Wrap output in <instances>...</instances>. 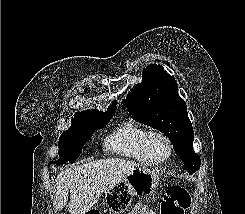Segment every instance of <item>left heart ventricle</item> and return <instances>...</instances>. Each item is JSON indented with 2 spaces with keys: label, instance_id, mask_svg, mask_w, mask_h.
<instances>
[{
  "label": "left heart ventricle",
  "instance_id": "obj_1",
  "mask_svg": "<svg viewBox=\"0 0 245 214\" xmlns=\"http://www.w3.org/2000/svg\"><path fill=\"white\" fill-rule=\"evenodd\" d=\"M148 153L153 160H161L168 154L166 143L159 137H153L148 144Z\"/></svg>",
  "mask_w": 245,
  "mask_h": 214
}]
</instances>
